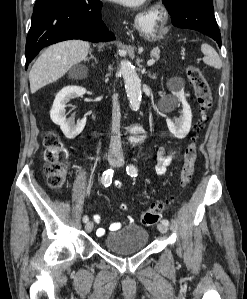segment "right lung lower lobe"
Returning a JSON list of instances; mask_svg holds the SVG:
<instances>
[{
    "instance_id": "98d812e1",
    "label": "right lung lower lobe",
    "mask_w": 247,
    "mask_h": 299,
    "mask_svg": "<svg viewBox=\"0 0 247 299\" xmlns=\"http://www.w3.org/2000/svg\"><path fill=\"white\" fill-rule=\"evenodd\" d=\"M99 0H59L33 12L26 40V66L48 45L81 39L105 42L115 39L101 17Z\"/></svg>"
}]
</instances>
